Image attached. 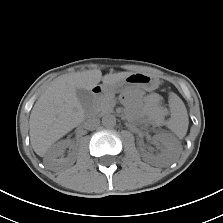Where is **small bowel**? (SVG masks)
Here are the masks:
<instances>
[{
	"mask_svg": "<svg viewBox=\"0 0 223 223\" xmlns=\"http://www.w3.org/2000/svg\"><path fill=\"white\" fill-rule=\"evenodd\" d=\"M146 105L149 108L150 114L154 118H158L161 112V100L156 95H148L145 98Z\"/></svg>",
	"mask_w": 223,
	"mask_h": 223,
	"instance_id": "c3829d8e",
	"label": "small bowel"
}]
</instances>
